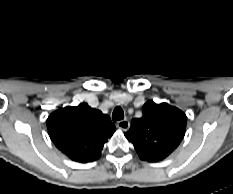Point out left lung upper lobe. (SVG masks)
<instances>
[{"instance_id": "left-lung-upper-lobe-1", "label": "left lung upper lobe", "mask_w": 233, "mask_h": 194, "mask_svg": "<svg viewBox=\"0 0 233 194\" xmlns=\"http://www.w3.org/2000/svg\"><path fill=\"white\" fill-rule=\"evenodd\" d=\"M143 116L133 119L125 133L142 160L157 162L165 159L180 144L186 129V115L167 103L148 101Z\"/></svg>"}]
</instances>
